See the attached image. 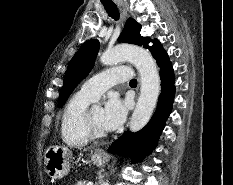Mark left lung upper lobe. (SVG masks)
<instances>
[{
    "label": "left lung upper lobe",
    "mask_w": 233,
    "mask_h": 185,
    "mask_svg": "<svg viewBox=\"0 0 233 185\" xmlns=\"http://www.w3.org/2000/svg\"><path fill=\"white\" fill-rule=\"evenodd\" d=\"M140 30L141 25L134 19L129 18L118 41L144 46L151 50L158 41L154 40V45L151 47L148 46L151 39L148 37H142L140 35ZM98 50L99 41L88 40L80 47L78 52L71 59L65 73L63 87L58 100V107L63 106L78 83L88 75L93 67Z\"/></svg>",
    "instance_id": "obj_1"
}]
</instances>
